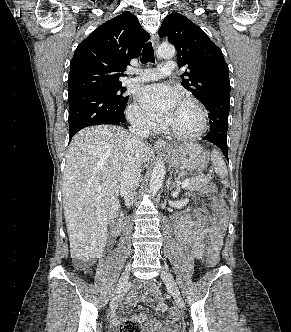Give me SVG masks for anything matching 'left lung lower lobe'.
<instances>
[{
    "instance_id": "obj_1",
    "label": "left lung lower lobe",
    "mask_w": 291,
    "mask_h": 332,
    "mask_svg": "<svg viewBox=\"0 0 291 332\" xmlns=\"http://www.w3.org/2000/svg\"><path fill=\"white\" fill-rule=\"evenodd\" d=\"M205 107L209 111L211 130L204 139L219 147L228 160L227 127L230 110L229 99L216 98L210 103V105Z\"/></svg>"
}]
</instances>
